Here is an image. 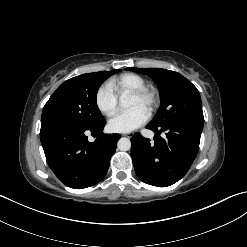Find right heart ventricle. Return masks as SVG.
Masks as SVG:
<instances>
[{
	"mask_svg": "<svg viewBox=\"0 0 247 247\" xmlns=\"http://www.w3.org/2000/svg\"><path fill=\"white\" fill-rule=\"evenodd\" d=\"M147 86L146 80L136 73H125L110 82V87L117 95L129 94Z\"/></svg>",
	"mask_w": 247,
	"mask_h": 247,
	"instance_id": "1",
	"label": "right heart ventricle"
}]
</instances>
